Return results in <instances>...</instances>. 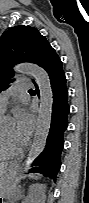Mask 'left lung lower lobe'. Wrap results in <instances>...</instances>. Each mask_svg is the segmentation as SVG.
<instances>
[{
	"instance_id": "0a47b994",
	"label": "left lung lower lobe",
	"mask_w": 89,
	"mask_h": 203,
	"mask_svg": "<svg viewBox=\"0 0 89 203\" xmlns=\"http://www.w3.org/2000/svg\"><path fill=\"white\" fill-rule=\"evenodd\" d=\"M40 67L49 74L53 91V106L46 146L44 151L34 160L36 167L32 172L41 173L56 181V175L61 166L60 156L64 147L63 135L68 126L67 119L70 111L68 91L61 59L50 45L44 50ZM36 88V93L39 96L37 85Z\"/></svg>"
}]
</instances>
